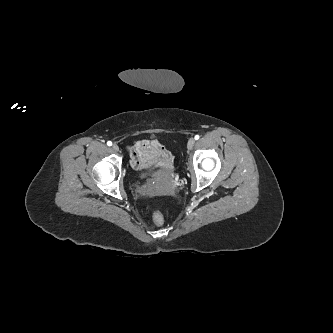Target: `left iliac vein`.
<instances>
[{
    "label": "left iliac vein",
    "mask_w": 333,
    "mask_h": 333,
    "mask_svg": "<svg viewBox=\"0 0 333 333\" xmlns=\"http://www.w3.org/2000/svg\"><path fill=\"white\" fill-rule=\"evenodd\" d=\"M195 144V139L191 138L189 139L188 143H187V147L189 150H191L194 147Z\"/></svg>",
    "instance_id": "4c4485c4"
}]
</instances>
